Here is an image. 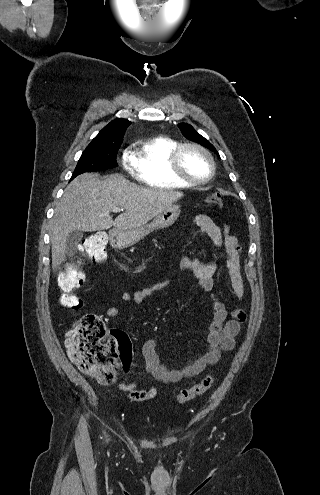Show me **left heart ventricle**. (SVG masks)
<instances>
[{"mask_svg":"<svg viewBox=\"0 0 320 495\" xmlns=\"http://www.w3.org/2000/svg\"><path fill=\"white\" fill-rule=\"evenodd\" d=\"M184 172L196 179L205 178L210 171V165L206 157L195 149H186L181 158Z\"/></svg>","mask_w":320,"mask_h":495,"instance_id":"obj_1","label":"left heart ventricle"}]
</instances>
